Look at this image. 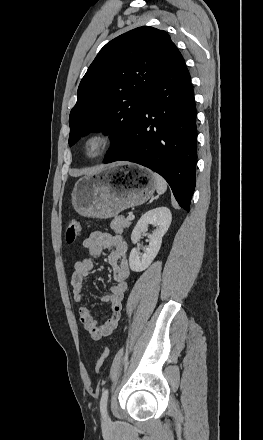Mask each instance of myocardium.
<instances>
[{"label": "myocardium", "mask_w": 263, "mask_h": 440, "mask_svg": "<svg viewBox=\"0 0 263 440\" xmlns=\"http://www.w3.org/2000/svg\"><path fill=\"white\" fill-rule=\"evenodd\" d=\"M92 142L97 143V149L94 152L89 151V145ZM112 143V137L108 132L102 130L92 131L81 141V154L85 160H97L108 152Z\"/></svg>", "instance_id": "myocardium-1"}]
</instances>
